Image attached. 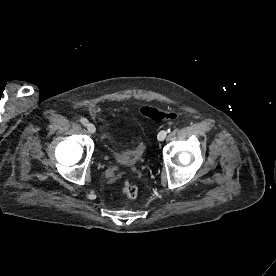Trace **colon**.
Listing matches in <instances>:
<instances>
[{
	"mask_svg": "<svg viewBox=\"0 0 276 276\" xmlns=\"http://www.w3.org/2000/svg\"><path fill=\"white\" fill-rule=\"evenodd\" d=\"M140 113L145 118L155 122L173 120L177 116L176 112L173 110H160L151 106L140 108ZM121 189L122 193L129 199H134L138 196V187L129 181L123 182Z\"/></svg>",
	"mask_w": 276,
	"mask_h": 276,
	"instance_id": "colon-1",
	"label": "colon"
}]
</instances>
